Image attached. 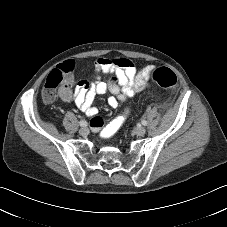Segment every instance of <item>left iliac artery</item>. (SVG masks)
I'll list each match as a JSON object with an SVG mask.
<instances>
[{
	"mask_svg": "<svg viewBox=\"0 0 227 227\" xmlns=\"http://www.w3.org/2000/svg\"><path fill=\"white\" fill-rule=\"evenodd\" d=\"M142 124H143L144 126H146V125H147V121L143 120V121H142Z\"/></svg>",
	"mask_w": 227,
	"mask_h": 227,
	"instance_id": "left-iliac-artery-1",
	"label": "left iliac artery"
}]
</instances>
